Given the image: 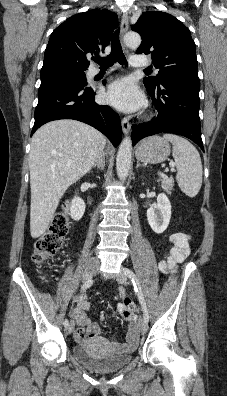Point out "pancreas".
<instances>
[{
  "label": "pancreas",
  "instance_id": "pancreas-1",
  "mask_svg": "<svg viewBox=\"0 0 227 396\" xmlns=\"http://www.w3.org/2000/svg\"><path fill=\"white\" fill-rule=\"evenodd\" d=\"M174 186V180L173 178H163L161 187L166 191L168 194H171V191L173 190Z\"/></svg>",
  "mask_w": 227,
  "mask_h": 396
}]
</instances>
